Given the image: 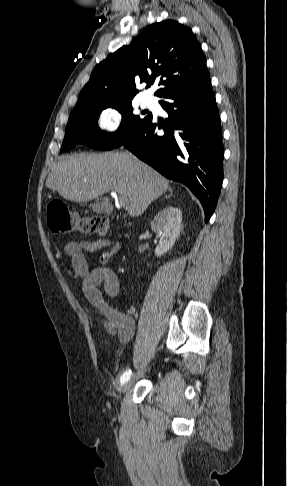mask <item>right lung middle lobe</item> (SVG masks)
<instances>
[{
  "instance_id": "dd1d6c3e",
  "label": "right lung middle lobe",
  "mask_w": 287,
  "mask_h": 486,
  "mask_svg": "<svg viewBox=\"0 0 287 486\" xmlns=\"http://www.w3.org/2000/svg\"><path fill=\"white\" fill-rule=\"evenodd\" d=\"M131 102L132 99L100 103L71 112L61 152L73 148L78 143L100 150H111L124 143L151 116V114L144 117L134 115ZM109 107L115 108L122 115L119 129L110 134L101 131L97 125L100 112Z\"/></svg>"
}]
</instances>
